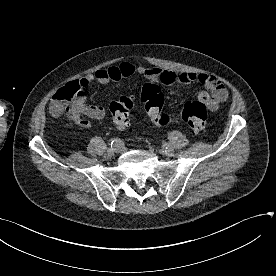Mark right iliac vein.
I'll return each mask as SVG.
<instances>
[{
	"mask_svg": "<svg viewBox=\"0 0 276 276\" xmlns=\"http://www.w3.org/2000/svg\"><path fill=\"white\" fill-rule=\"evenodd\" d=\"M120 151H122V147H112V148H109V149L107 150V154H108L109 156H111V155H113L115 152H120Z\"/></svg>",
	"mask_w": 276,
	"mask_h": 276,
	"instance_id": "1",
	"label": "right iliac vein"
}]
</instances>
